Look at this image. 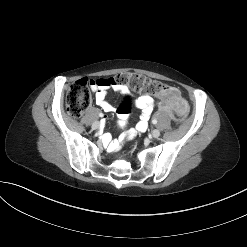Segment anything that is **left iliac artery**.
Instances as JSON below:
<instances>
[{
	"label": "left iliac artery",
	"instance_id": "obj_1",
	"mask_svg": "<svg viewBox=\"0 0 247 247\" xmlns=\"http://www.w3.org/2000/svg\"><path fill=\"white\" fill-rule=\"evenodd\" d=\"M152 123H153V124H157V120H156V119H153V120H152Z\"/></svg>",
	"mask_w": 247,
	"mask_h": 247
}]
</instances>
